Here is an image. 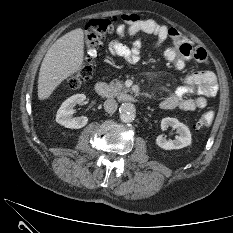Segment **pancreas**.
Returning a JSON list of instances; mask_svg holds the SVG:
<instances>
[{
  "label": "pancreas",
  "instance_id": "obj_1",
  "mask_svg": "<svg viewBox=\"0 0 233 233\" xmlns=\"http://www.w3.org/2000/svg\"><path fill=\"white\" fill-rule=\"evenodd\" d=\"M108 86H109L108 96L110 97L120 96L121 94L127 93L130 91L120 81L110 82Z\"/></svg>",
  "mask_w": 233,
  "mask_h": 233
}]
</instances>
